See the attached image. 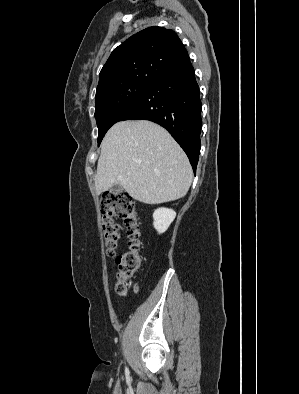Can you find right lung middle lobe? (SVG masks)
<instances>
[{
  "instance_id": "obj_1",
  "label": "right lung middle lobe",
  "mask_w": 299,
  "mask_h": 394,
  "mask_svg": "<svg viewBox=\"0 0 299 394\" xmlns=\"http://www.w3.org/2000/svg\"><path fill=\"white\" fill-rule=\"evenodd\" d=\"M151 83L130 82L96 95L95 118L98 126V145L108 129L118 122L126 110Z\"/></svg>"
}]
</instances>
